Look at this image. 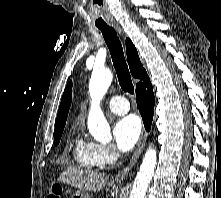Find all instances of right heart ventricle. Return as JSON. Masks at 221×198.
Returning <instances> with one entry per match:
<instances>
[{
	"label": "right heart ventricle",
	"mask_w": 221,
	"mask_h": 198,
	"mask_svg": "<svg viewBox=\"0 0 221 198\" xmlns=\"http://www.w3.org/2000/svg\"><path fill=\"white\" fill-rule=\"evenodd\" d=\"M74 161L82 168L94 169L99 167L95 143L86 141L81 135L76 136L72 143Z\"/></svg>",
	"instance_id": "e07e8e85"
}]
</instances>
